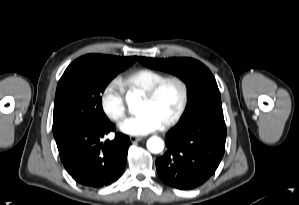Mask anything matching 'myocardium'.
Returning <instances> with one entry per match:
<instances>
[{"label": "myocardium", "mask_w": 299, "mask_h": 205, "mask_svg": "<svg viewBox=\"0 0 299 205\" xmlns=\"http://www.w3.org/2000/svg\"><path fill=\"white\" fill-rule=\"evenodd\" d=\"M169 84H175L180 88V102L177 107V110L175 113L162 124L163 129L170 128L174 126L176 123L179 122V120L184 115L188 102H189V87L188 84L180 77L171 76L166 77L156 83L154 86H152L150 89L146 90L144 93L141 94L142 98L146 101H152L154 100L161 91Z\"/></svg>", "instance_id": "obj_1"}]
</instances>
